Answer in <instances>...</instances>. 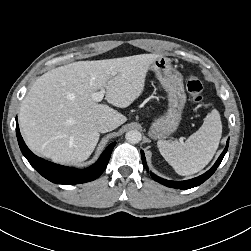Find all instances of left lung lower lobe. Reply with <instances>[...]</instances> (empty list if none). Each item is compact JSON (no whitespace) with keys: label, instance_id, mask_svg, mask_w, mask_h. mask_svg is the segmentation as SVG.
Returning <instances> with one entry per match:
<instances>
[{"label":"left lung lower lobe","instance_id":"1","mask_svg":"<svg viewBox=\"0 0 251 251\" xmlns=\"http://www.w3.org/2000/svg\"><path fill=\"white\" fill-rule=\"evenodd\" d=\"M228 145H229V140L227 141V144H226L224 151L221 153V155L219 156L218 160L213 165V167L210 170H208L206 173H204L196 178L186 180V181H170V180H165L163 178H160V177L156 176L155 174H153L152 172H150V175L155 181H157L167 187L176 188V189H190V188L196 187V186L202 184L204 181H206L216 171L217 167L219 166L224 155L227 152ZM141 156H142L143 165L145 168H147L146 159H145L143 151H141ZM147 171H148V169H147Z\"/></svg>","mask_w":251,"mask_h":251}]
</instances>
